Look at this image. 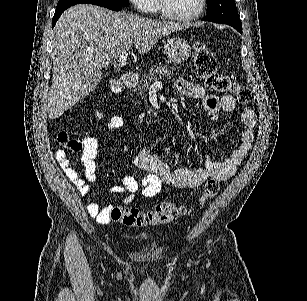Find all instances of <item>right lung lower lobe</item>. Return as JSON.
Instances as JSON below:
<instances>
[{
	"label": "right lung lower lobe",
	"mask_w": 307,
	"mask_h": 301,
	"mask_svg": "<svg viewBox=\"0 0 307 301\" xmlns=\"http://www.w3.org/2000/svg\"><path fill=\"white\" fill-rule=\"evenodd\" d=\"M91 4L106 7L108 9H111L113 11H120L122 10V6L117 5V4H112V3H102V2H90ZM71 7V6H69ZM69 7L61 8V9H56L54 17L52 19V27L56 24L57 20L61 16V14Z\"/></svg>",
	"instance_id": "98d812e1"
}]
</instances>
